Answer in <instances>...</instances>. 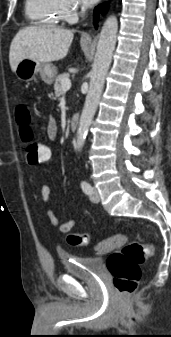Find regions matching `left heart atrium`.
Returning a JSON list of instances; mask_svg holds the SVG:
<instances>
[{
    "label": "left heart atrium",
    "mask_w": 171,
    "mask_h": 337,
    "mask_svg": "<svg viewBox=\"0 0 171 337\" xmlns=\"http://www.w3.org/2000/svg\"><path fill=\"white\" fill-rule=\"evenodd\" d=\"M85 4H92L96 2L97 0H82Z\"/></svg>",
    "instance_id": "obj_1"
}]
</instances>
